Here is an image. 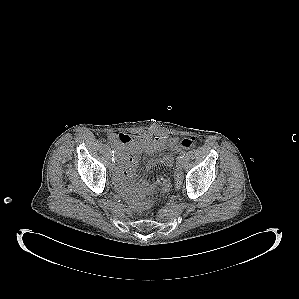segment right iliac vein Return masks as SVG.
Listing matches in <instances>:
<instances>
[{"instance_id": "63e3f726", "label": "right iliac vein", "mask_w": 299, "mask_h": 299, "mask_svg": "<svg viewBox=\"0 0 299 299\" xmlns=\"http://www.w3.org/2000/svg\"><path fill=\"white\" fill-rule=\"evenodd\" d=\"M110 170H113V164L110 165Z\"/></svg>"}]
</instances>
